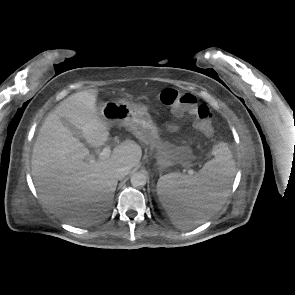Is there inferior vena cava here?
<instances>
[{
    "mask_svg": "<svg viewBox=\"0 0 295 295\" xmlns=\"http://www.w3.org/2000/svg\"><path fill=\"white\" fill-rule=\"evenodd\" d=\"M130 169L127 166H121L116 168L114 175L116 179H123L128 173Z\"/></svg>",
    "mask_w": 295,
    "mask_h": 295,
    "instance_id": "1",
    "label": "inferior vena cava"
}]
</instances>
